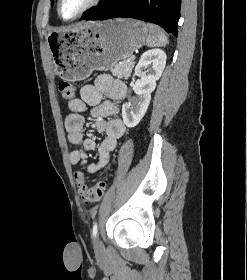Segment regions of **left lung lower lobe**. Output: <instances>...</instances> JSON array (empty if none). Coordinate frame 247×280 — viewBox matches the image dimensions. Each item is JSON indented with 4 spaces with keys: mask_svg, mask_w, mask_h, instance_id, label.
Here are the masks:
<instances>
[{
    "mask_svg": "<svg viewBox=\"0 0 247 280\" xmlns=\"http://www.w3.org/2000/svg\"><path fill=\"white\" fill-rule=\"evenodd\" d=\"M181 0H109L88 12L85 20L135 18L161 26L177 36Z\"/></svg>",
    "mask_w": 247,
    "mask_h": 280,
    "instance_id": "obj_1",
    "label": "left lung lower lobe"
}]
</instances>
